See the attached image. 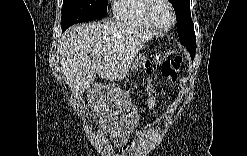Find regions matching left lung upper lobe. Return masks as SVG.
Segmentation results:
<instances>
[{
  "instance_id": "5c2ea615",
  "label": "left lung upper lobe",
  "mask_w": 247,
  "mask_h": 156,
  "mask_svg": "<svg viewBox=\"0 0 247 156\" xmlns=\"http://www.w3.org/2000/svg\"><path fill=\"white\" fill-rule=\"evenodd\" d=\"M176 13L180 42L191 55L196 52V37L190 15V0H170Z\"/></svg>"
}]
</instances>
